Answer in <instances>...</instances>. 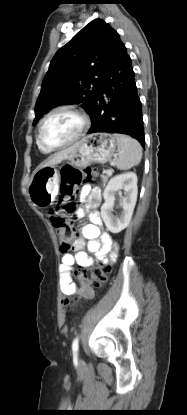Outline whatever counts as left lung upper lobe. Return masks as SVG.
<instances>
[{"label":"left lung upper lobe","mask_w":187,"mask_h":415,"mask_svg":"<svg viewBox=\"0 0 187 415\" xmlns=\"http://www.w3.org/2000/svg\"><path fill=\"white\" fill-rule=\"evenodd\" d=\"M118 36L108 23L95 19L57 51L42 82L33 125L64 100L80 103L92 116L99 82Z\"/></svg>","instance_id":"obj_1"}]
</instances>
